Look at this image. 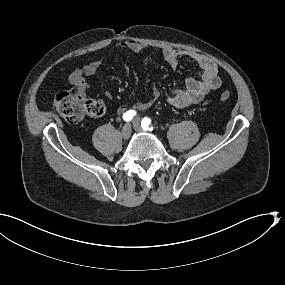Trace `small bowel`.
I'll list each match as a JSON object with an SVG mask.
<instances>
[{"instance_id": "c3829d8e", "label": "small bowel", "mask_w": 285, "mask_h": 285, "mask_svg": "<svg viewBox=\"0 0 285 285\" xmlns=\"http://www.w3.org/2000/svg\"><path fill=\"white\" fill-rule=\"evenodd\" d=\"M120 48L127 49L133 53H141L144 50V46L134 40H124L120 44ZM163 57L165 61L172 67H176L179 64L181 58L187 57L197 64L200 69L199 78H188L184 88L173 89L167 96V101L176 108H185L192 104L199 103L206 95L211 91L218 89L221 86V78L219 76V68L215 62L205 55L189 52L179 49H164ZM102 65V59H95L86 65L78 67L69 77L70 83L77 89L85 92L89 89V84L86 80L88 76H92L97 73ZM123 70L126 72V68ZM107 97H111L109 91L106 92ZM159 91L156 87L152 89L151 96L148 100L137 102L134 105L136 110H145L149 108L158 98ZM127 112L125 106L118 108L119 114Z\"/></svg>"}]
</instances>
